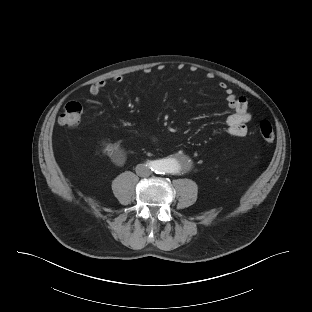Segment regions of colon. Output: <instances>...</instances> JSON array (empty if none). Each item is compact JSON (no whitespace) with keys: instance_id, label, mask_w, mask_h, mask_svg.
Listing matches in <instances>:
<instances>
[{"instance_id":"colon-1","label":"colon","mask_w":312,"mask_h":312,"mask_svg":"<svg viewBox=\"0 0 312 312\" xmlns=\"http://www.w3.org/2000/svg\"><path fill=\"white\" fill-rule=\"evenodd\" d=\"M82 115V106L79 102L72 101L66 104L64 111L59 116V124L69 128H75L80 124ZM259 133L266 142L274 140V131L272 125L267 120L259 123Z\"/></svg>"}]
</instances>
